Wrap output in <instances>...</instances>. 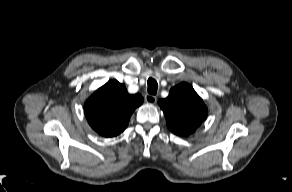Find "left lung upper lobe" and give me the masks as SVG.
Instances as JSON below:
<instances>
[{
	"mask_svg": "<svg viewBox=\"0 0 292 192\" xmlns=\"http://www.w3.org/2000/svg\"><path fill=\"white\" fill-rule=\"evenodd\" d=\"M168 128L176 135L188 136L207 117V107L192 86L183 82L170 90L166 99L158 101Z\"/></svg>",
	"mask_w": 292,
	"mask_h": 192,
	"instance_id": "obj_1",
	"label": "left lung upper lobe"
}]
</instances>
